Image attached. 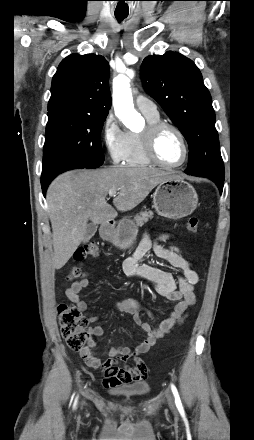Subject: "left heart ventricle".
I'll return each mask as SVG.
<instances>
[{
	"label": "left heart ventricle",
	"instance_id": "1",
	"mask_svg": "<svg viewBox=\"0 0 254 440\" xmlns=\"http://www.w3.org/2000/svg\"><path fill=\"white\" fill-rule=\"evenodd\" d=\"M160 159L167 164H178L182 161L184 149L179 136L172 130H164L157 142Z\"/></svg>",
	"mask_w": 254,
	"mask_h": 440
}]
</instances>
